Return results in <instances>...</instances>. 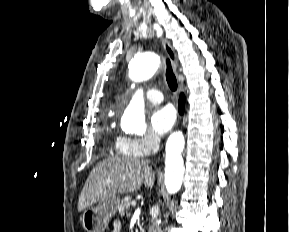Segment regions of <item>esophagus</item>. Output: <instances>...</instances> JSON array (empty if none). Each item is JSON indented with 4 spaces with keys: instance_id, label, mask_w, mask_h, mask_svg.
Here are the masks:
<instances>
[{
    "instance_id": "34e87169",
    "label": "esophagus",
    "mask_w": 289,
    "mask_h": 232,
    "mask_svg": "<svg viewBox=\"0 0 289 232\" xmlns=\"http://www.w3.org/2000/svg\"><path fill=\"white\" fill-rule=\"evenodd\" d=\"M162 43H163L165 52L171 61L172 67L177 75L178 74V59H177L176 52L167 39L163 38Z\"/></svg>"
}]
</instances>
